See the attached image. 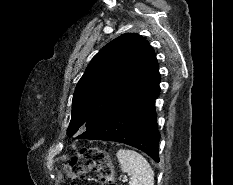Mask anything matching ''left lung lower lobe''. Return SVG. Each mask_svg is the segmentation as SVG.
Masks as SVG:
<instances>
[{
	"label": "left lung lower lobe",
	"instance_id": "1",
	"mask_svg": "<svg viewBox=\"0 0 233 185\" xmlns=\"http://www.w3.org/2000/svg\"><path fill=\"white\" fill-rule=\"evenodd\" d=\"M159 82L157 65L121 95L100 123L76 138L125 143L159 162L160 134L155 112Z\"/></svg>",
	"mask_w": 233,
	"mask_h": 185
}]
</instances>
